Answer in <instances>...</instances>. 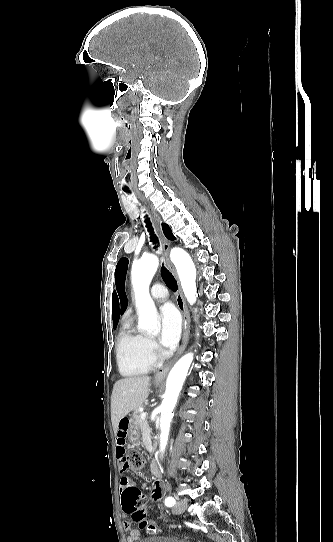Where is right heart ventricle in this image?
<instances>
[{
    "label": "right heart ventricle",
    "instance_id": "e07e8e85",
    "mask_svg": "<svg viewBox=\"0 0 333 542\" xmlns=\"http://www.w3.org/2000/svg\"><path fill=\"white\" fill-rule=\"evenodd\" d=\"M116 352L119 370L125 376L145 374L155 365L148 337L136 328L127 327L118 334Z\"/></svg>",
    "mask_w": 333,
    "mask_h": 542
}]
</instances>
